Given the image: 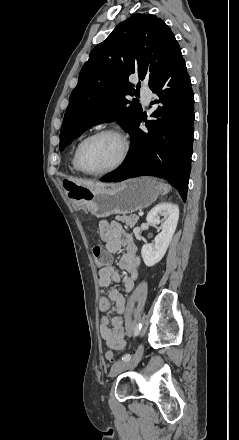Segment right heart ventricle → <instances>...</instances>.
I'll return each instance as SVG.
<instances>
[{
  "instance_id": "obj_1",
  "label": "right heart ventricle",
  "mask_w": 239,
  "mask_h": 440,
  "mask_svg": "<svg viewBox=\"0 0 239 440\" xmlns=\"http://www.w3.org/2000/svg\"><path fill=\"white\" fill-rule=\"evenodd\" d=\"M76 149H77V147L73 150V153H72V158H71V165H72V169L75 171V172H80L79 170H78V168H77V165H76V158H75V156H76Z\"/></svg>"
}]
</instances>
